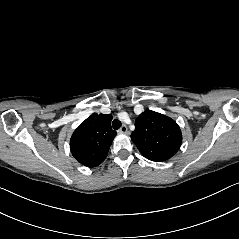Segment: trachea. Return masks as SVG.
<instances>
[{
    "instance_id": "trachea-1",
    "label": "trachea",
    "mask_w": 239,
    "mask_h": 239,
    "mask_svg": "<svg viewBox=\"0 0 239 239\" xmlns=\"http://www.w3.org/2000/svg\"><path fill=\"white\" fill-rule=\"evenodd\" d=\"M112 127H113L115 130L119 129V128L121 127V122H120L119 120H117V119L113 120V122H112Z\"/></svg>"
}]
</instances>
